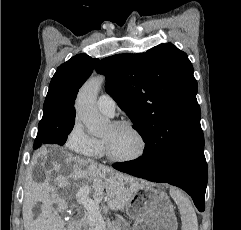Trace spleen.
<instances>
[{
    "instance_id": "obj_1",
    "label": "spleen",
    "mask_w": 241,
    "mask_h": 230,
    "mask_svg": "<svg viewBox=\"0 0 241 230\" xmlns=\"http://www.w3.org/2000/svg\"><path fill=\"white\" fill-rule=\"evenodd\" d=\"M170 195L179 208L182 230H198L197 216L189 198L176 188H170Z\"/></svg>"
}]
</instances>
